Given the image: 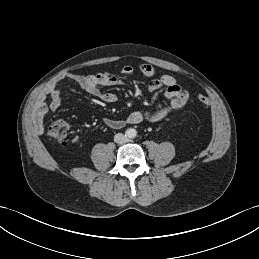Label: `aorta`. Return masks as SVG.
<instances>
[{
  "label": "aorta",
  "mask_w": 259,
  "mask_h": 259,
  "mask_svg": "<svg viewBox=\"0 0 259 259\" xmlns=\"http://www.w3.org/2000/svg\"><path fill=\"white\" fill-rule=\"evenodd\" d=\"M137 132L135 129L133 128H130L126 131V135L129 137V138H134L136 136Z\"/></svg>",
  "instance_id": "1"
}]
</instances>
